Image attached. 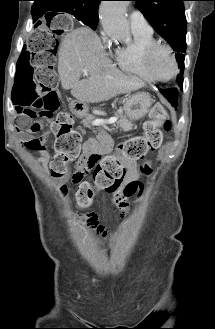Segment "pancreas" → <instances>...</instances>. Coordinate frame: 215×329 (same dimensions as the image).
Returning <instances> with one entry per match:
<instances>
[{
	"mask_svg": "<svg viewBox=\"0 0 215 329\" xmlns=\"http://www.w3.org/2000/svg\"><path fill=\"white\" fill-rule=\"evenodd\" d=\"M116 117L119 118V121L117 122V128H120L122 131L127 132L132 130L133 124L131 121H129L125 115H123L122 112H118L116 114ZM95 119L93 115H86L85 118L82 120V123L84 126L91 128L92 121ZM100 130V129H98Z\"/></svg>",
	"mask_w": 215,
	"mask_h": 329,
	"instance_id": "1",
	"label": "pancreas"
}]
</instances>
